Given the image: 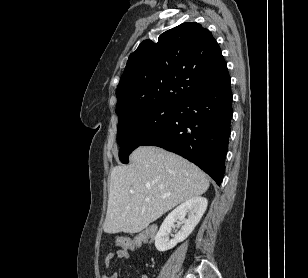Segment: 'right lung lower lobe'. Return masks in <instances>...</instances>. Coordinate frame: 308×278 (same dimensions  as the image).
<instances>
[{
  "label": "right lung lower lobe",
  "mask_w": 308,
  "mask_h": 278,
  "mask_svg": "<svg viewBox=\"0 0 308 278\" xmlns=\"http://www.w3.org/2000/svg\"><path fill=\"white\" fill-rule=\"evenodd\" d=\"M230 78L178 104L175 119L142 142L177 153L196 164L218 185L225 172L232 111Z\"/></svg>",
  "instance_id": "obj_1"
}]
</instances>
